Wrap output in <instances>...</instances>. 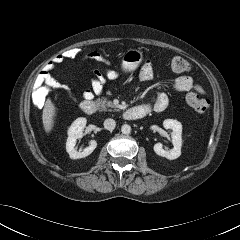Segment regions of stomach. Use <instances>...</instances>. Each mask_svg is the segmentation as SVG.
Segmentation results:
<instances>
[{
    "label": "stomach",
    "mask_w": 240,
    "mask_h": 240,
    "mask_svg": "<svg viewBox=\"0 0 240 240\" xmlns=\"http://www.w3.org/2000/svg\"><path fill=\"white\" fill-rule=\"evenodd\" d=\"M143 60V52L139 49H128L122 55V69L125 72H132Z\"/></svg>",
    "instance_id": "0dacf381"
}]
</instances>
